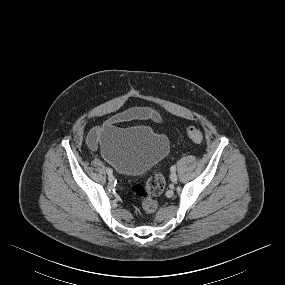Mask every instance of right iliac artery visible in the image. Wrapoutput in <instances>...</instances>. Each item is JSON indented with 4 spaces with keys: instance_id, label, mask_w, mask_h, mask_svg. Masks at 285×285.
<instances>
[{
    "instance_id": "obj_1",
    "label": "right iliac artery",
    "mask_w": 285,
    "mask_h": 285,
    "mask_svg": "<svg viewBox=\"0 0 285 285\" xmlns=\"http://www.w3.org/2000/svg\"><path fill=\"white\" fill-rule=\"evenodd\" d=\"M106 171L109 175L113 173V170L111 168H107Z\"/></svg>"
}]
</instances>
